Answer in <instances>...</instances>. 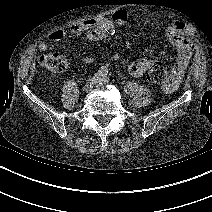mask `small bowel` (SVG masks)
I'll return each mask as SVG.
<instances>
[{"mask_svg":"<svg viewBox=\"0 0 212 212\" xmlns=\"http://www.w3.org/2000/svg\"><path fill=\"white\" fill-rule=\"evenodd\" d=\"M128 18L129 12L125 9H119L112 15H101L73 24L69 31L73 35L84 36L94 41H102L113 33L116 26L123 25ZM187 30V24L181 20L173 21L166 29V40L177 55L176 63L170 72L169 79L162 86L163 91L166 93L173 92L179 86L192 56V42L185 36ZM66 36V31L56 30L49 35L48 39L51 42H58ZM39 49L46 51L48 49L47 42H41ZM117 58V54L110 56L111 60H116ZM82 61L90 65L95 62V58L93 56H86ZM156 63L157 61L151 58H140L129 65V72L135 77H140Z\"/></svg>","mask_w":212,"mask_h":212,"instance_id":"1","label":"small bowel"}]
</instances>
